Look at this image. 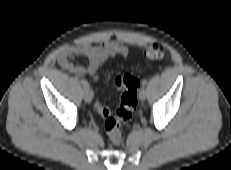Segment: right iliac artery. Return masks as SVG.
I'll return each instance as SVG.
<instances>
[{
    "label": "right iliac artery",
    "instance_id": "1",
    "mask_svg": "<svg viewBox=\"0 0 231 170\" xmlns=\"http://www.w3.org/2000/svg\"><path fill=\"white\" fill-rule=\"evenodd\" d=\"M81 83H82V85H83L84 88H90L89 83L87 82V80L82 79Z\"/></svg>",
    "mask_w": 231,
    "mask_h": 170
}]
</instances>
